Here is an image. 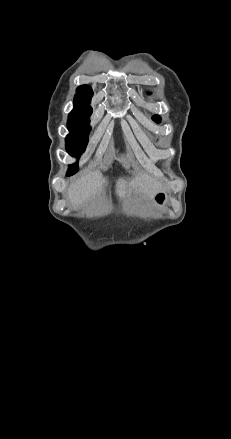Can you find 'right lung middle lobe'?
<instances>
[{"label": "right lung middle lobe", "mask_w": 231, "mask_h": 439, "mask_svg": "<svg viewBox=\"0 0 231 439\" xmlns=\"http://www.w3.org/2000/svg\"><path fill=\"white\" fill-rule=\"evenodd\" d=\"M92 113L69 114L68 129L70 134L66 137V149L71 156L78 157L86 149L88 134L90 131V119ZM78 163L69 166L68 172L76 173Z\"/></svg>", "instance_id": "dd1d6c3e"}]
</instances>
